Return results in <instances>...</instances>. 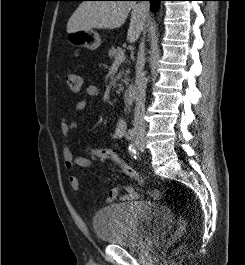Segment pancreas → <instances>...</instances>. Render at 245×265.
I'll return each instance as SVG.
<instances>
[{
  "label": "pancreas",
  "mask_w": 245,
  "mask_h": 265,
  "mask_svg": "<svg viewBox=\"0 0 245 265\" xmlns=\"http://www.w3.org/2000/svg\"><path fill=\"white\" fill-rule=\"evenodd\" d=\"M121 53H124V50L122 48L111 47V49H109V51H108V56L110 57V59H115ZM128 74H129V70L126 71L125 80H123V82H126V80H128V78H127ZM119 86H120L119 91H121L123 89L122 85H119Z\"/></svg>",
  "instance_id": "obj_1"
}]
</instances>
